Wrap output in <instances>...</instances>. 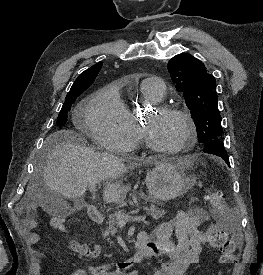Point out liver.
<instances>
[{"label": "liver", "mask_w": 263, "mask_h": 275, "mask_svg": "<svg viewBox=\"0 0 263 275\" xmlns=\"http://www.w3.org/2000/svg\"><path fill=\"white\" fill-rule=\"evenodd\" d=\"M48 143L52 148L48 151L42 175L45 188L74 200L82 197L90 184L103 183L104 201L117 203L125 198L126 191L117 181L126 171L122 159L86 147L81 136L71 130L54 133ZM177 162L184 165L189 160L184 158ZM39 195H34L29 185L21 205H37Z\"/></svg>", "instance_id": "6515ba94"}]
</instances>
